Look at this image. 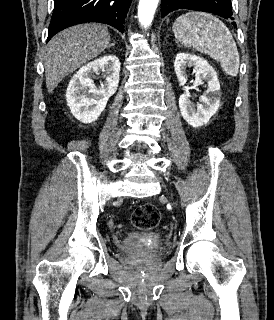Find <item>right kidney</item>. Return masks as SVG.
<instances>
[{
  "instance_id": "obj_1",
  "label": "right kidney",
  "mask_w": 274,
  "mask_h": 320,
  "mask_svg": "<svg viewBox=\"0 0 274 320\" xmlns=\"http://www.w3.org/2000/svg\"><path fill=\"white\" fill-rule=\"evenodd\" d=\"M99 72L105 78L101 88H97L92 80L94 74ZM119 80L120 62L113 54H106L82 66L71 78L66 90L67 104L74 118L82 124L98 120L109 98L115 94Z\"/></svg>"
}]
</instances>
